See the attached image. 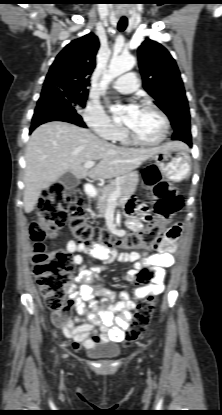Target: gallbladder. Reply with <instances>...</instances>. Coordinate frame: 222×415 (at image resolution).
Returning <instances> with one entry per match:
<instances>
[{"mask_svg":"<svg viewBox=\"0 0 222 415\" xmlns=\"http://www.w3.org/2000/svg\"><path fill=\"white\" fill-rule=\"evenodd\" d=\"M59 183H61L65 188L73 189L80 184V180L71 172H66L59 178Z\"/></svg>","mask_w":222,"mask_h":415,"instance_id":"1","label":"gallbladder"}]
</instances>
